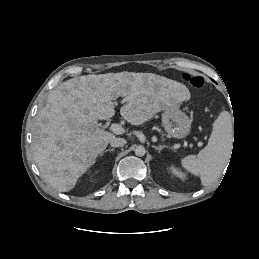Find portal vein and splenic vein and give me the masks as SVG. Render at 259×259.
<instances>
[{"mask_svg": "<svg viewBox=\"0 0 259 259\" xmlns=\"http://www.w3.org/2000/svg\"><path fill=\"white\" fill-rule=\"evenodd\" d=\"M127 101V98L123 99L122 102H125ZM111 130L117 134V135H120V134H123L124 133V128L120 125V124H112L111 125Z\"/></svg>", "mask_w": 259, "mask_h": 259, "instance_id": "1", "label": "portal vein and splenic vein"}]
</instances>
